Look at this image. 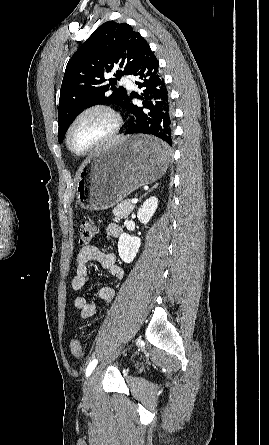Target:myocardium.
Segmentation results:
<instances>
[{
    "label": "myocardium",
    "mask_w": 269,
    "mask_h": 445,
    "mask_svg": "<svg viewBox=\"0 0 269 445\" xmlns=\"http://www.w3.org/2000/svg\"><path fill=\"white\" fill-rule=\"evenodd\" d=\"M90 114L104 115L109 120V123H110L109 129L103 136H101L99 139L94 141L92 144H90L85 149H83L81 151L74 150L72 148L71 142H70L72 132L75 129V127L77 126V124L83 118H85L86 116H88ZM122 125H123V121H122L121 115L111 106L106 105V104H101V103L90 105V106L82 109L81 111H79L73 117L71 122L69 123L67 130L65 132V139H64L65 146H66L67 150L73 156L84 157V156L98 150L99 148H101L102 146L106 145L108 142L113 140L120 132Z\"/></svg>",
    "instance_id": "obj_1"
}]
</instances>
